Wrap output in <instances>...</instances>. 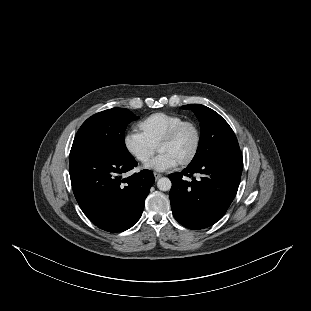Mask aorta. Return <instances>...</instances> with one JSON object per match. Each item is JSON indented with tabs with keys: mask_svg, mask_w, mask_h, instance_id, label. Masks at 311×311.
Here are the masks:
<instances>
[{
	"mask_svg": "<svg viewBox=\"0 0 311 311\" xmlns=\"http://www.w3.org/2000/svg\"><path fill=\"white\" fill-rule=\"evenodd\" d=\"M157 187L161 191H169L172 187V182L167 177H162L157 181Z\"/></svg>",
	"mask_w": 311,
	"mask_h": 311,
	"instance_id": "1",
	"label": "aorta"
}]
</instances>
